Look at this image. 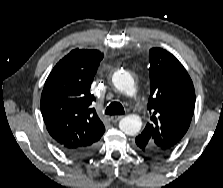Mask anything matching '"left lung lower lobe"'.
Returning a JSON list of instances; mask_svg holds the SVG:
<instances>
[{
	"mask_svg": "<svg viewBox=\"0 0 223 188\" xmlns=\"http://www.w3.org/2000/svg\"><path fill=\"white\" fill-rule=\"evenodd\" d=\"M135 142H136L138 150H140L148 155H151V156H161L162 155L160 151H157L154 149H149L147 147V145L142 140H140L138 138L135 139Z\"/></svg>",
	"mask_w": 223,
	"mask_h": 188,
	"instance_id": "obj_1",
	"label": "left lung lower lobe"
}]
</instances>
